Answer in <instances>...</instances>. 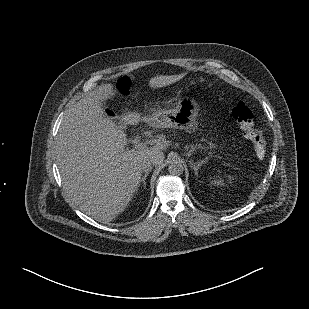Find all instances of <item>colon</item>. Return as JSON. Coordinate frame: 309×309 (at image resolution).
<instances>
[{
  "label": "colon",
  "mask_w": 309,
  "mask_h": 309,
  "mask_svg": "<svg viewBox=\"0 0 309 309\" xmlns=\"http://www.w3.org/2000/svg\"><path fill=\"white\" fill-rule=\"evenodd\" d=\"M115 88L120 94L127 95L131 88L130 78L121 77L116 82ZM232 117L240 125L244 136L253 143L257 156L263 158L266 154V141L254 123L250 108L244 102H239L232 110Z\"/></svg>",
  "instance_id": "colon-1"
}]
</instances>
